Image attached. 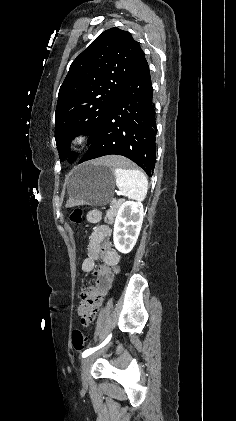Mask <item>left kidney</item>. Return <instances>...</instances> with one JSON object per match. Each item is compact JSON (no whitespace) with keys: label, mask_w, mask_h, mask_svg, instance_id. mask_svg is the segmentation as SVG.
<instances>
[{"label":"left kidney","mask_w":236,"mask_h":421,"mask_svg":"<svg viewBox=\"0 0 236 421\" xmlns=\"http://www.w3.org/2000/svg\"><path fill=\"white\" fill-rule=\"evenodd\" d=\"M144 211L141 202L126 200L121 204L115 219L113 241L117 251L130 253L141 231Z\"/></svg>","instance_id":"left-kidney-1"}]
</instances>
